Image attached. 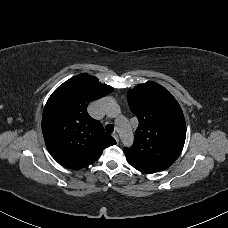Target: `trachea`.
I'll return each instance as SVG.
<instances>
[{"label": "trachea", "instance_id": "1", "mask_svg": "<svg viewBox=\"0 0 228 228\" xmlns=\"http://www.w3.org/2000/svg\"><path fill=\"white\" fill-rule=\"evenodd\" d=\"M106 131H107L108 133H112V132L114 131V126H113V124H107V125H106Z\"/></svg>", "mask_w": 228, "mask_h": 228}]
</instances>
